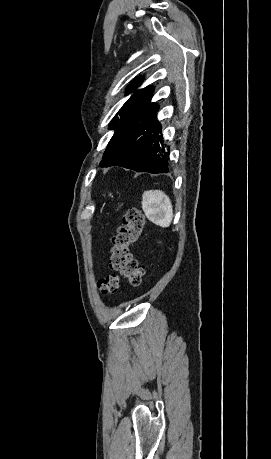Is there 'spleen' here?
Masks as SVG:
<instances>
[{
    "label": "spleen",
    "instance_id": "obj_1",
    "mask_svg": "<svg viewBox=\"0 0 271 459\" xmlns=\"http://www.w3.org/2000/svg\"><path fill=\"white\" fill-rule=\"evenodd\" d=\"M141 204L142 210L150 222H153L156 226H161V228L170 226L173 220V208L164 192H161V190L144 192Z\"/></svg>",
    "mask_w": 271,
    "mask_h": 459
}]
</instances>
